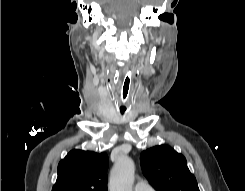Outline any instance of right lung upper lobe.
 Instances as JSON below:
<instances>
[{
    "label": "right lung upper lobe",
    "instance_id": "1",
    "mask_svg": "<svg viewBox=\"0 0 245 191\" xmlns=\"http://www.w3.org/2000/svg\"><path fill=\"white\" fill-rule=\"evenodd\" d=\"M106 153L72 150L58 165L52 191H108Z\"/></svg>",
    "mask_w": 245,
    "mask_h": 191
}]
</instances>
